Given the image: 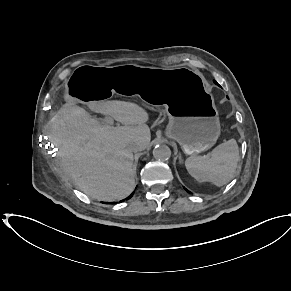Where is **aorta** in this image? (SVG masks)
<instances>
[{"instance_id": "aorta-1", "label": "aorta", "mask_w": 291, "mask_h": 291, "mask_svg": "<svg viewBox=\"0 0 291 291\" xmlns=\"http://www.w3.org/2000/svg\"><path fill=\"white\" fill-rule=\"evenodd\" d=\"M153 156L155 159L166 161L171 157V150L167 145H159L154 148Z\"/></svg>"}]
</instances>
